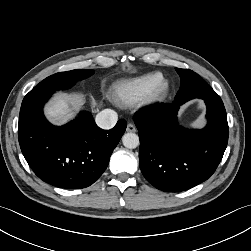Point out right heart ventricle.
<instances>
[{
  "label": "right heart ventricle",
  "mask_w": 251,
  "mask_h": 251,
  "mask_svg": "<svg viewBox=\"0 0 251 251\" xmlns=\"http://www.w3.org/2000/svg\"><path fill=\"white\" fill-rule=\"evenodd\" d=\"M164 80L160 72H150L125 79L113 88L114 99L121 104H134L145 98Z\"/></svg>",
  "instance_id": "1"
}]
</instances>
